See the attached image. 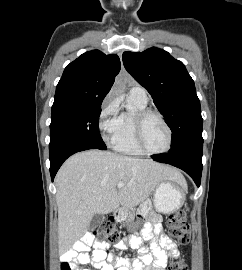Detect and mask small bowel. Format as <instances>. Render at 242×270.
<instances>
[{"instance_id":"small-bowel-1","label":"small bowel","mask_w":242,"mask_h":270,"mask_svg":"<svg viewBox=\"0 0 242 270\" xmlns=\"http://www.w3.org/2000/svg\"><path fill=\"white\" fill-rule=\"evenodd\" d=\"M143 239L150 242L149 247L143 245ZM90 247H93L91 255L88 254ZM106 247V243L87 234L62 256L61 265L67 264L70 270H165L168 256L178 258L180 255L176 243L162 233L158 217L144 224L140 236L130 235L115 245L118 250L127 247L138 250L137 258L108 255Z\"/></svg>"}]
</instances>
